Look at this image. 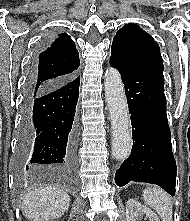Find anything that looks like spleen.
<instances>
[{
	"label": "spleen",
	"mask_w": 190,
	"mask_h": 221,
	"mask_svg": "<svg viewBox=\"0 0 190 221\" xmlns=\"http://www.w3.org/2000/svg\"><path fill=\"white\" fill-rule=\"evenodd\" d=\"M143 200L145 204L153 208L161 217L162 221H172V204L162 189L158 187H148L143 190Z\"/></svg>",
	"instance_id": "3e777b00"
}]
</instances>
